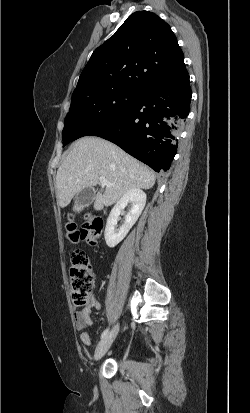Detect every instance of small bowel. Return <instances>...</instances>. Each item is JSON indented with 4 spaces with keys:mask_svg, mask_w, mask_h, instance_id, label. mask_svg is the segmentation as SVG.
Returning a JSON list of instances; mask_svg holds the SVG:
<instances>
[{
    "mask_svg": "<svg viewBox=\"0 0 250 413\" xmlns=\"http://www.w3.org/2000/svg\"><path fill=\"white\" fill-rule=\"evenodd\" d=\"M101 305L95 296L92 297V302L88 307H84L81 310L75 312V324L80 331V340L86 346L91 345V336L89 329L93 327L94 322L91 318V312L93 309L100 310Z\"/></svg>",
    "mask_w": 250,
    "mask_h": 413,
    "instance_id": "1",
    "label": "small bowel"
}]
</instances>
